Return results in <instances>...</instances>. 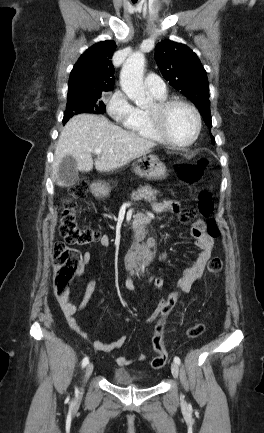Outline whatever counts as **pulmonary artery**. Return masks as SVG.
Wrapping results in <instances>:
<instances>
[{"label": "pulmonary artery", "instance_id": "e3ab8cb5", "mask_svg": "<svg viewBox=\"0 0 264 433\" xmlns=\"http://www.w3.org/2000/svg\"><path fill=\"white\" fill-rule=\"evenodd\" d=\"M145 86L150 93L162 95L166 94L165 82L156 74H149L145 78Z\"/></svg>", "mask_w": 264, "mask_h": 433}]
</instances>
